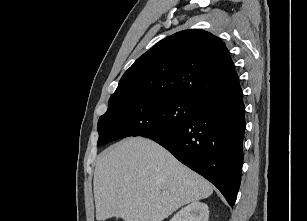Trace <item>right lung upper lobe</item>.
<instances>
[{
	"label": "right lung upper lobe",
	"mask_w": 307,
	"mask_h": 221,
	"mask_svg": "<svg viewBox=\"0 0 307 221\" xmlns=\"http://www.w3.org/2000/svg\"><path fill=\"white\" fill-rule=\"evenodd\" d=\"M242 92L225 44L198 29L154 45L124 73L109 103L134 96H166L203 105Z\"/></svg>",
	"instance_id": "right-lung-upper-lobe-1"
}]
</instances>
